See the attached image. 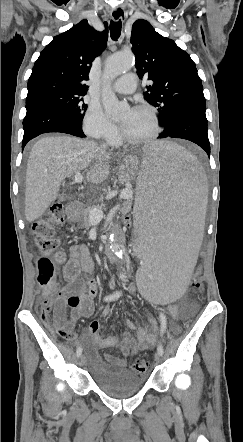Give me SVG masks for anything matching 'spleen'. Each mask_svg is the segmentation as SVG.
<instances>
[{
    "label": "spleen",
    "mask_w": 243,
    "mask_h": 442,
    "mask_svg": "<svg viewBox=\"0 0 243 442\" xmlns=\"http://www.w3.org/2000/svg\"><path fill=\"white\" fill-rule=\"evenodd\" d=\"M135 177V277L139 296L154 307L183 302L204 230L206 178L197 158L183 147L157 141L140 155ZM151 192V193H143Z\"/></svg>",
    "instance_id": "spleen-1"
}]
</instances>
